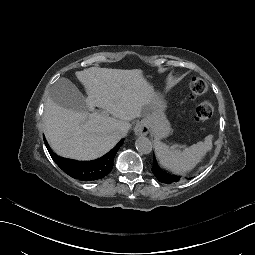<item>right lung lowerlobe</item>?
Wrapping results in <instances>:
<instances>
[{
	"mask_svg": "<svg viewBox=\"0 0 255 255\" xmlns=\"http://www.w3.org/2000/svg\"><path fill=\"white\" fill-rule=\"evenodd\" d=\"M83 173L87 178H90L94 173V168L91 165H86L83 168Z\"/></svg>",
	"mask_w": 255,
	"mask_h": 255,
	"instance_id": "98d812e1",
	"label": "right lung lower lobe"
}]
</instances>
